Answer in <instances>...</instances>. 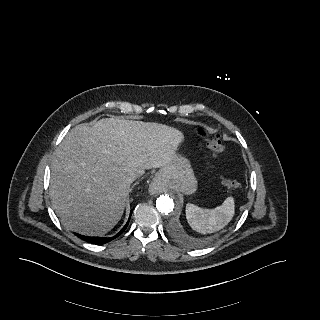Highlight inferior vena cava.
I'll return each instance as SVG.
<instances>
[{"label":"inferior vena cava","instance_id":"602c4592","mask_svg":"<svg viewBox=\"0 0 320 320\" xmlns=\"http://www.w3.org/2000/svg\"><path fill=\"white\" fill-rule=\"evenodd\" d=\"M137 174L136 173H130L129 175H128V177H127V181L129 182V183H132V182H134L135 180H136V178H137Z\"/></svg>","mask_w":320,"mask_h":320}]
</instances>
